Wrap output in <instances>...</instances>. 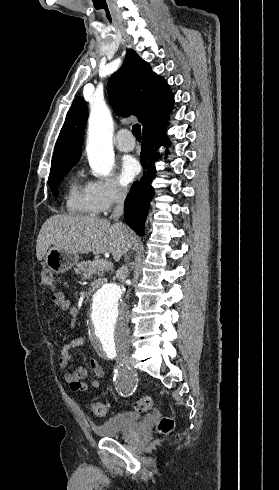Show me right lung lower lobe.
<instances>
[{
	"mask_svg": "<svg viewBox=\"0 0 279 490\" xmlns=\"http://www.w3.org/2000/svg\"><path fill=\"white\" fill-rule=\"evenodd\" d=\"M166 127L143 134L140 155L143 177L134 182L125 200V221L139 235H144V221L154 194L151 182L156 175L153 163L159 157L157 150L161 145L169 146L170 143L165 133Z\"/></svg>",
	"mask_w": 279,
	"mask_h": 490,
	"instance_id": "98d812e1",
	"label": "right lung lower lobe"
}]
</instances>
